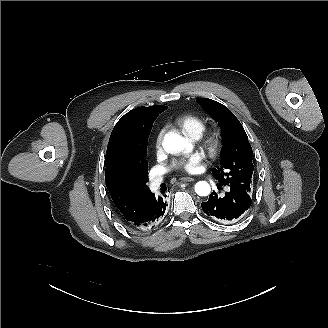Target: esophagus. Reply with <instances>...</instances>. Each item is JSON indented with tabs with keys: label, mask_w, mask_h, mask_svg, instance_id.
I'll list each match as a JSON object with an SVG mask.
<instances>
[{
	"label": "esophagus",
	"mask_w": 328,
	"mask_h": 328,
	"mask_svg": "<svg viewBox=\"0 0 328 328\" xmlns=\"http://www.w3.org/2000/svg\"><path fill=\"white\" fill-rule=\"evenodd\" d=\"M179 180L182 181V182H191V181H194V179L191 178V177H181Z\"/></svg>",
	"instance_id": "obj_1"
}]
</instances>
